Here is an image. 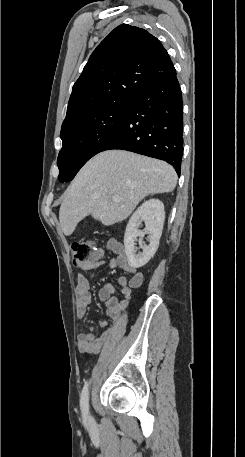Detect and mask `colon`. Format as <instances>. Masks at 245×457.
Listing matches in <instances>:
<instances>
[{"label": "colon", "instance_id": "obj_1", "mask_svg": "<svg viewBox=\"0 0 245 457\" xmlns=\"http://www.w3.org/2000/svg\"><path fill=\"white\" fill-rule=\"evenodd\" d=\"M97 248L92 241H78L70 246L72 262L76 266H81L93 259L97 255Z\"/></svg>", "mask_w": 245, "mask_h": 457}]
</instances>
